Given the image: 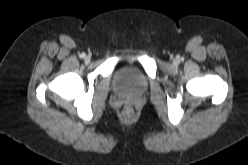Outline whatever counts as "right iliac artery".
Returning a JSON list of instances; mask_svg holds the SVG:
<instances>
[{
    "label": "right iliac artery",
    "instance_id": "1",
    "mask_svg": "<svg viewBox=\"0 0 248 165\" xmlns=\"http://www.w3.org/2000/svg\"><path fill=\"white\" fill-rule=\"evenodd\" d=\"M80 57L81 58H84L85 57V53L80 54Z\"/></svg>",
    "mask_w": 248,
    "mask_h": 165
}]
</instances>
